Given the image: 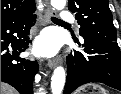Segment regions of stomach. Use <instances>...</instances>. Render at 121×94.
<instances>
[{
    "mask_svg": "<svg viewBox=\"0 0 121 94\" xmlns=\"http://www.w3.org/2000/svg\"><path fill=\"white\" fill-rule=\"evenodd\" d=\"M76 94H107V91L97 84H88Z\"/></svg>",
    "mask_w": 121,
    "mask_h": 94,
    "instance_id": "stomach-1",
    "label": "stomach"
}]
</instances>
